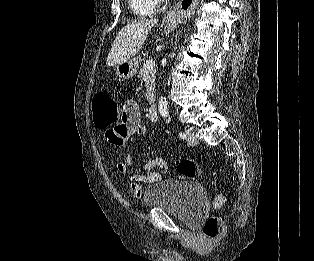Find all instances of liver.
<instances>
[{
  "label": "liver",
  "instance_id": "liver-1",
  "mask_svg": "<svg viewBox=\"0 0 314 261\" xmlns=\"http://www.w3.org/2000/svg\"><path fill=\"white\" fill-rule=\"evenodd\" d=\"M156 24V19H145L123 27L112 44L107 66H117L135 56L145 43L149 30Z\"/></svg>",
  "mask_w": 314,
  "mask_h": 261
}]
</instances>
